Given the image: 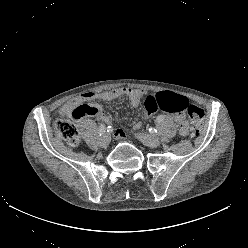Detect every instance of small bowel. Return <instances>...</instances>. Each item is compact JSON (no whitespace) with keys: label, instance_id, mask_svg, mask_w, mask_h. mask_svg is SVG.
I'll return each instance as SVG.
<instances>
[{"label":"small bowel","instance_id":"obj_1","mask_svg":"<svg viewBox=\"0 0 248 248\" xmlns=\"http://www.w3.org/2000/svg\"><path fill=\"white\" fill-rule=\"evenodd\" d=\"M144 95L145 92L141 89L124 88V87L103 91L101 93L86 92L65 103L59 109V113L62 116L70 117L72 111L76 107L94 99L109 101L120 97H126L131 106L137 107L139 106ZM89 107L91 109V112L87 116L102 120L106 123H109L111 121V117L108 114H106L100 107L98 106H89ZM171 118L176 123H178L177 133L183 137L188 136L190 132V125L186 123L184 115L182 113L172 114ZM138 127H139V123L135 125V128ZM115 135L118 139H123L125 136L124 132L120 129L116 131Z\"/></svg>","mask_w":248,"mask_h":248}]
</instances>
